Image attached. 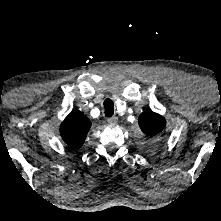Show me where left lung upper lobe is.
Instances as JSON below:
<instances>
[{"label":"left lung upper lobe","mask_w":221,"mask_h":221,"mask_svg":"<svg viewBox=\"0 0 221 221\" xmlns=\"http://www.w3.org/2000/svg\"><path fill=\"white\" fill-rule=\"evenodd\" d=\"M138 123L147 137L146 141L141 144V148L149 152L159 144L157 136L164 129L166 121L164 117L148 109L139 116Z\"/></svg>","instance_id":"1"}]
</instances>
